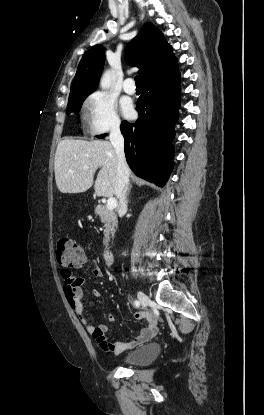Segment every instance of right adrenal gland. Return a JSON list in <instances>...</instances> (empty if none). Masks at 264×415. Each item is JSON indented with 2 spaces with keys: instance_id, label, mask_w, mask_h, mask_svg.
I'll list each match as a JSON object with an SVG mask.
<instances>
[{
  "instance_id": "1",
  "label": "right adrenal gland",
  "mask_w": 264,
  "mask_h": 415,
  "mask_svg": "<svg viewBox=\"0 0 264 415\" xmlns=\"http://www.w3.org/2000/svg\"><path fill=\"white\" fill-rule=\"evenodd\" d=\"M131 184L128 186V189H127V195H129V193H130V190H131Z\"/></svg>"
}]
</instances>
